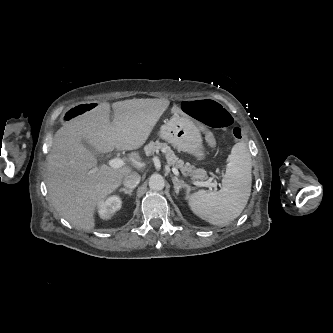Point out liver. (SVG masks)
Wrapping results in <instances>:
<instances>
[{
    "instance_id": "6515ba94",
    "label": "liver",
    "mask_w": 333,
    "mask_h": 333,
    "mask_svg": "<svg viewBox=\"0 0 333 333\" xmlns=\"http://www.w3.org/2000/svg\"><path fill=\"white\" fill-rule=\"evenodd\" d=\"M169 104L166 99H130L112 106L103 102L65 122L55 133L47 157L46 185L52 205L71 225L91 231L99 202L131 172L128 166L96 168L97 158L82 140L99 153L136 150L146 142Z\"/></svg>"
}]
</instances>
